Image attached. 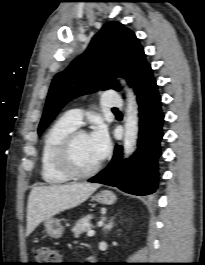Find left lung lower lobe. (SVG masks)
Wrapping results in <instances>:
<instances>
[{
  "mask_svg": "<svg viewBox=\"0 0 205 265\" xmlns=\"http://www.w3.org/2000/svg\"><path fill=\"white\" fill-rule=\"evenodd\" d=\"M138 94L140 128L138 149L129 160L121 161L122 147H116L112 161L89 182L118 187L124 192L145 196L155 192L158 184V163L163 137L161 97L151 67H148L134 87Z\"/></svg>",
  "mask_w": 205,
  "mask_h": 265,
  "instance_id": "1",
  "label": "left lung lower lobe"
}]
</instances>
